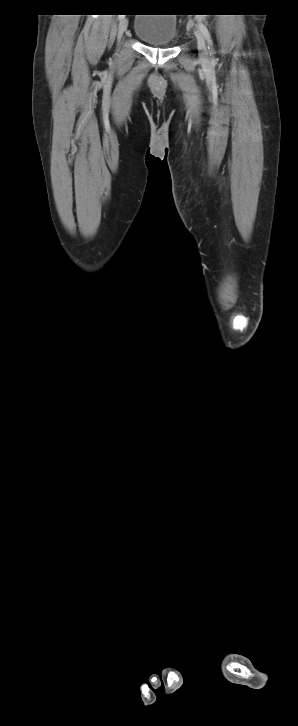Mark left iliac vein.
<instances>
[{
  "label": "left iliac vein",
  "mask_w": 298,
  "mask_h": 726,
  "mask_svg": "<svg viewBox=\"0 0 298 726\" xmlns=\"http://www.w3.org/2000/svg\"><path fill=\"white\" fill-rule=\"evenodd\" d=\"M195 37L197 39V46L199 50V58L202 62H208L209 55L207 50L206 41L204 35L198 29L195 30Z\"/></svg>",
  "instance_id": "1"
}]
</instances>
